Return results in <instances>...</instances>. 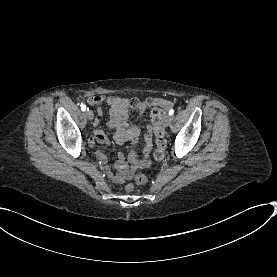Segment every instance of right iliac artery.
<instances>
[{
    "label": "right iliac artery",
    "mask_w": 277,
    "mask_h": 277,
    "mask_svg": "<svg viewBox=\"0 0 277 277\" xmlns=\"http://www.w3.org/2000/svg\"><path fill=\"white\" fill-rule=\"evenodd\" d=\"M81 110H82V111H85V110H86V105L81 104Z\"/></svg>",
    "instance_id": "right-iliac-artery-1"
}]
</instances>
